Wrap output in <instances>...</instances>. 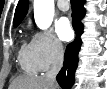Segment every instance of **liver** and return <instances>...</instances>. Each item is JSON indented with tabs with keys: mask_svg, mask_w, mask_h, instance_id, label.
Here are the masks:
<instances>
[{
	"mask_svg": "<svg viewBox=\"0 0 107 89\" xmlns=\"http://www.w3.org/2000/svg\"><path fill=\"white\" fill-rule=\"evenodd\" d=\"M9 89H57L45 76L21 75L15 78Z\"/></svg>",
	"mask_w": 107,
	"mask_h": 89,
	"instance_id": "1",
	"label": "liver"
}]
</instances>
